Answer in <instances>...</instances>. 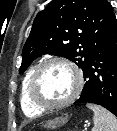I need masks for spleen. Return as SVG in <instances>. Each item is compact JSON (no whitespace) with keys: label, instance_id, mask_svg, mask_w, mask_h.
Wrapping results in <instances>:
<instances>
[{"label":"spleen","instance_id":"1","mask_svg":"<svg viewBox=\"0 0 117 131\" xmlns=\"http://www.w3.org/2000/svg\"><path fill=\"white\" fill-rule=\"evenodd\" d=\"M86 106L94 112L92 131H117V118L111 112L94 104Z\"/></svg>","mask_w":117,"mask_h":131}]
</instances>
